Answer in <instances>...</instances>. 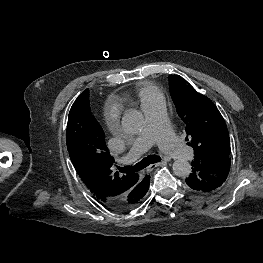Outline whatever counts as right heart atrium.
Listing matches in <instances>:
<instances>
[{"instance_id":"d8ad5b80","label":"right heart atrium","mask_w":263,"mask_h":263,"mask_svg":"<svg viewBox=\"0 0 263 263\" xmlns=\"http://www.w3.org/2000/svg\"><path fill=\"white\" fill-rule=\"evenodd\" d=\"M108 114H109L110 116H112V115H113V110L110 109V110L108 111Z\"/></svg>"}]
</instances>
